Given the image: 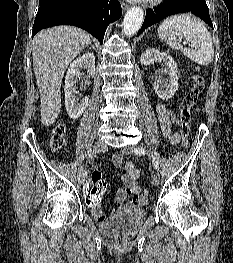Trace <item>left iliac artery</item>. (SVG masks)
<instances>
[{
    "label": "left iliac artery",
    "mask_w": 233,
    "mask_h": 263,
    "mask_svg": "<svg viewBox=\"0 0 233 263\" xmlns=\"http://www.w3.org/2000/svg\"><path fill=\"white\" fill-rule=\"evenodd\" d=\"M134 152L137 155H144V154H146V150L143 147L135 148ZM152 162H153L154 168L157 169L158 166H159V163H158V160L154 156H152Z\"/></svg>",
    "instance_id": "1"
}]
</instances>
